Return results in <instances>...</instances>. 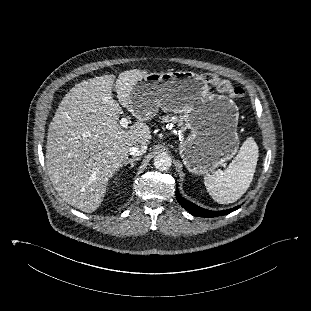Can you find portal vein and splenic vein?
Listing matches in <instances>:
<instances>
[{"label": "portal vein and splenic vein", "instance_id": "18ae733b", "mask_svg": "<svg viewBox=\"0 0 311 311\" xmlns=\"http://www.w3.org/2000/svg\"><path fill=\"white\" fill-rule=\"evenodd\" d=\"M128 119L127 118H121L120 120V125L123 127V128H127L128 127Z\"/></svg>", "mask_w": 311, "mask_h": 311}]
</instances>
